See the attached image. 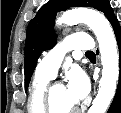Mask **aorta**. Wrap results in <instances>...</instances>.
<instances>
[{
	"label": "aorta",
	"mask_w": 121,
	"mask_h": 113,
	"mask_svg": "<svg viewBox=\"0 0 121 113\" xmlns=\"http://www.w3.org/2000/svg\"><path fill=\"white\" fill-rule=\"evenodd\" d=\"M57 22L66 25L82 22L96 35L103 70L98 93L88 113H105L114 97L119 75L117 43L109 21L95 10L81 8L66 11Z\"/></svg>",
	"instance_id": "obj_1"
}]
</instances>
